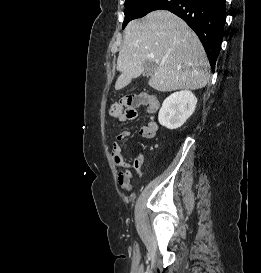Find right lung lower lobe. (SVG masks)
Listing matches in <instances>:
<instances>
[{"label":"right lung lower lobe","instance_id":"obj_1","mask_svg":"<svg viewBox=\"0 0 261 273\" xmlns=\"http://www.w3.org/2000/svg\"><path fill=\"white\" fill-rule=\"evenodd\" d=\"M140 9L145 15L165 9L181 17L200 38L210 65L215 69L224 33L225 0H154L140 5Z\"/></svg>","mask_w":261,"mask_h":273}]
</instances>
